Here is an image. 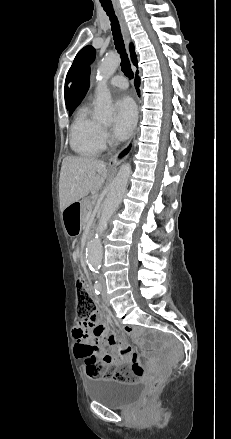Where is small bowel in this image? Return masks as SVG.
Returning <instances> with one entry per match:
<instances>
[{"instance_id": "small-bowel-1", "label": "small bowel", "mask_w": 231, "mask_h": 439, "mask_svg": "<svg viewBox=\"0 0 231 439\" xmlns=\"http://www.w3.org/2000/svg\"><path fill=\"white\" fill-rule=\"evenodd\" d=\"M90 290V286H88ZM103 311H97L88 324L79 322L73 329L74 353L77 358H101L105 363L117 365L138 364L143 372L142 362L131 345L116 344L115 333L108 324L102 322Z\"/></svg>"}]
</instances>
